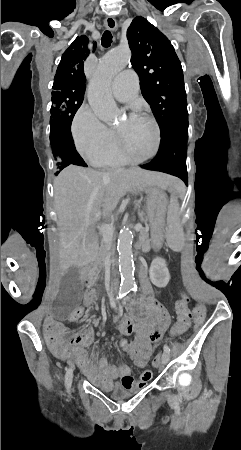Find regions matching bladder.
<instances>
[{
	"label": "bladder",
	"mask_w": 241,
	"mask_h": 450,
	"mask_svg": "<svg viewBox=\"0 0 241 450\" xmlns=\"http://www.w3.org/2000/svg\"><path fill=\"white\" fill-rule=\"evenodd\" d=\"M111 395L116 400H123L129 398L132 395V392L125 388L119 387L114 389Z\"/></svg>",
	"instance_id": "obj_1"
}]
</instances>
